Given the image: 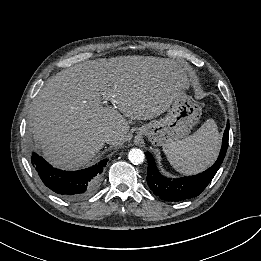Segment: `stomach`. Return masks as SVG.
Returning a JSON list of instances; mask_svg holds the SVG:
<instances>
[{
  "mask_svg": "<svg viewBox=\"0 0 261 261\" xmlns=\"http://www.w3.org/2000/svg\"><path fill=\"white\" fill-rule=\"evenodd\" d=\"M201 114V107L182 91L173 100L165 117L142 125L137 133L146 136L152 145L163 146L186 137Z\"/></svg>",
  "mask_w": 261,
  "mask_h": 261,
  "instance_id": "stomach-1",
  "label": "stomach"
}]
</instances>
